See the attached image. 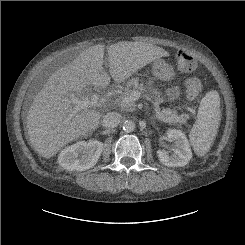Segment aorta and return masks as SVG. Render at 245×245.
I'll return each mask as SVG.
<instances>
[{
    "label": "aorta",
    "instance_id": "1",
    "mask_svg": "<svg viewBox=\"0 0 245 245\" xmlns=\"http://www.w3.org/2000/svg\"><path fill=\"white\" fill-rule=\"evenodd\" d=\"M136 128L135 123L132 120H126L123 123V130L126 132H133Z\"/></svg>",
    "mask_w": 245,
    "mask_h": 245
}]
</instances>
